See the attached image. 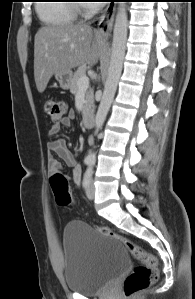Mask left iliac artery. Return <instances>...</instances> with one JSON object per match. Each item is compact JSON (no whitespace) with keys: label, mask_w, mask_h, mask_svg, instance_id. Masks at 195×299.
Segmentation results:
<instances>
[{"label":"left iliac artery","mask_w":195,"mask_h":299,"mask_svg":"<svg viewBox=\"0 0 195 299\" xmlns=\"http://www.w3.org/2000/svg\"><path fill=\"white\" fill-rule=\"evenodd\" d=\"M92 176V163L89 164V167L87 168L85 174H84V178H83V187H87L90 179Z\"/></svg>","instance_id":"1"}]
</instances>
